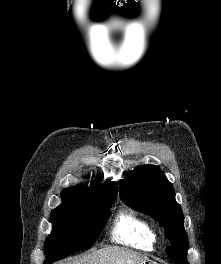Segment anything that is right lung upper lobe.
Masks as SVG:
<instances>
[{"instance_id":"cb5924a9","label":"right lung upper lobe","mask_w":221,"mask_h":264,"mask_svg":"<svg viewBox=\"0 0 221 264\" xmlns=\"http://www.w3.org/2000/svg\"><path fill=\"white\" fill-rule=\"evenodd\" d=\"M116 184L110 180L98 185L94 181L90 187L84 185H76L69 187L61 192L62 204L61 207L75 208L86 205L87 203L107 197H116Z\"/></svg>"}]
</instances>
